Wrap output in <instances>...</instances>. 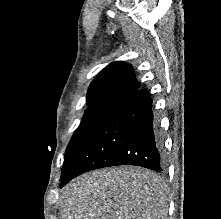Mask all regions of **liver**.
Masks as SVG:
<instances>
[{
  "mask_svg": "<svg viewBox=\"0 0 221 219\" xmlns=\"http://www.w3.org/2000/svg\"><path fill=\"white\" fill-rule=\"evenodd\" d=\"M165 192L162 179L147 169L96 170L64 187L61 219H167Z\"/></svg>",
  "mask_w": 221,
  "mask_h": 219,
  "instance_id": "1",
  "label": "liver"
}]
</instances>
